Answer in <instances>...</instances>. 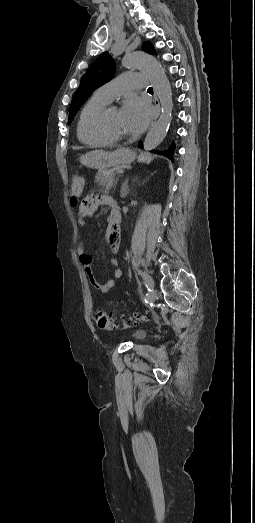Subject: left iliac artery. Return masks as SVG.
Returning <instances> with one entry per match:
<instances>
[{"label":"left iliac artery","mask_w":255,"mask_h":523,"mask_svg":"<svg viewBox=\"0 0 255 523\" xmlns=\"http://www.w3.org/2000/svg\"><path fill=\"white\" fill-rule=\"evenodd\" d=\"M142 277H143V281H144L145 285L147 286L148 290L152 291L154 286H151V285L148 284V281L146 279L145 273H142Z\"/></svg>","instance_id":"left-iliac-artery-1"}]
</instances>
